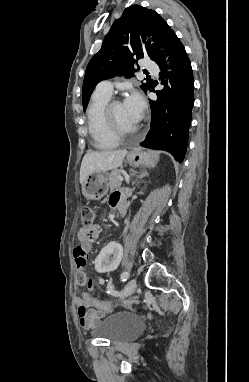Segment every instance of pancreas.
<instances>
[{
	"label": "pancreas",
	"mask_w": 249,
	"mask_h": 382,
	"mask_svg": "<svg viewBox=\"0 0 249 382\" xmlns=\"http://www.w3.org/2000/svg\"><path fill=\"white\" fill-rule=\"evenodd\" d=\"M121 176V172L119 170H114L108 176L107 186L110 190L117 189L121 186V181L118 180V177Z\"/></svg>",
	"instance_id": "cf45deb5"
}]
</instances>
